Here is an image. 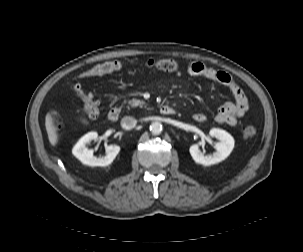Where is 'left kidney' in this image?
Masks as SVG:
<instances>
[{"mask_svg":"<svg viewBox=\"0 0 303 252\" xmlns=\"http://www.w3.org/2000/svg\"><path fill=\"white\" fill-rule=\"evenodd\" d=\"M209 135L219 140V142L215 144L216 152L212 155L206 156L200 151L199 145H201V143L191 145L189 149L193 160L196 163L205 166L213 165L225 160L234 148V139L225 130L212 128Z\"/></svg>","mask_w":303,"mask_h":252,"instance_id":"1","label":"left kidney"}]
</instances>
